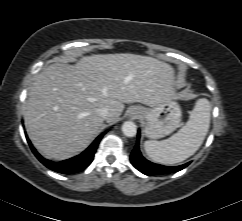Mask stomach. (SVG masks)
<instances>
[{"mask_svg": "<svg viewBox=\"0 0 242 221\" xmlns=\"http://www.w3.org/2000/svg\"><path fill=\"white\" fill-rule=\"evenodd\" d=\"M133 108L142 110L143 113L138 118L145 123V135L150 139H159L169 135L180 125L181 108L173 99L151 108L142 106Z\"/></svg>", "mask_w": 242, "mask_h": 221, "instance_id": "0dacf381", "label": "stomach"}]
</instances>
